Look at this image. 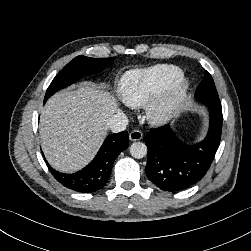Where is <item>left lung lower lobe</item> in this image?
<instances>
[{"label": "left lung lower lobe", "instance_id": "1", "mask_svg": "<svg viewBox=\"0 0 251 251\" xmlns=\"http://www.w3.org/2000/svg\"><path fill=\"white\" fill-rule=\"evenodd\" d=\"M208 107V134L198 144L183 143L169 125L151 129L145 137L148 148L145 172L160 189L169 192L184 190L207 173L219 147L223 122L221 105Z\"/></svg>", "mask_w": 251, "mask_h": 251}]
</instances>
